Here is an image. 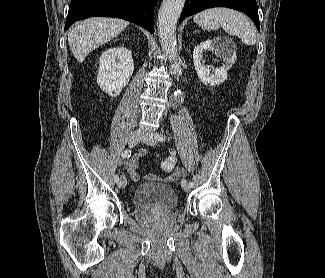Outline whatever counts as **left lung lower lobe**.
Here are the masks:
<instances>
[{
  "mask_svg": "<svg viewBox=\"0 0 325 278\" xmlns=\"http://www.w3.org/2000/svg\"><path fill=\"white\" fill-rule=\"evenodd\" d=\"M212 7H228L247 14L260 32L258 7L256 0H187L179 22L186 17Z\"/></svg>",
  "mask_w": 325,
  "mask_h": 278,
  "instance_id": "left-lung-lower-lobe-1",
  "label": "left lung lower lobe"
}]
</instances>
